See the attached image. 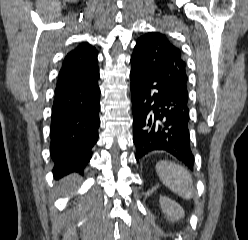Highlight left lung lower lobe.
<instances>
[{
  "instance_id": "left-lung-lower-lobe-1",
  "label": "left lung lower lobe",
  "mask_w": 248,
  "mask_h": 240,
  "mask_svg": "<svg viewBox=\"0 0 248 240\" xmlns=\"http://www.w3.org/2000/svg\"><path fill=\"white\" fill-rule=\"evenodd\" d=\"M133 142L136 159L167 151L193 168L188 98L131 60Z\"/></svg>"
}]
</instances>
